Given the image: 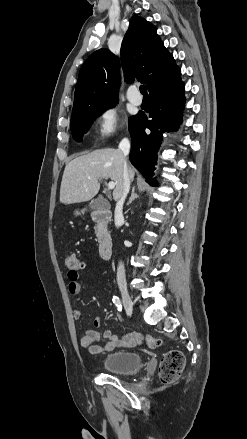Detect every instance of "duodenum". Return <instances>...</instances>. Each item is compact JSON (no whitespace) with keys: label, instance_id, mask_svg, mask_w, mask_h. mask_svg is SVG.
<instances>
[{"label":"duodenum","instance_id":"1","mask_svg":"<svg viewBox=\"0 0 247 439\" xmlns=\"http://www.w3.org/2000/svg\"><path fill=\"white\" fill-rule=\"evenodd\" d=\"M92 219L99 225L100 228H104L111 220L112 214L107 209L95 210L91 214ZM113 242L112 238L101 233L99 238V254L103 259H109L112 255Z\"/></svg>","mask_w":247,"mask_h":439}]
</instances>
